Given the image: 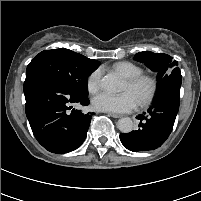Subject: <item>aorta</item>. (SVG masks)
Masks as SVG:
<instances>
[{
    "label": "aorta",
    "instance_id": "aorta-1",
    "mask_svg": "<svg viewBox=\"0 0 201 201\" xmlns=\"http://www.w3.org/2000/svg\"><path fill=\"white\" fill-rule=\"evenodd\" d=\"M100 86L104 91L111 93L119 92L122 89L119 78L111 73L101 79ZM117 126L122 133H129L133 130L134 124L129 117H124L118 120Z\"/></svg>",
    "mask_w": 201,
    "mask_h": 201
}]
</instances>
